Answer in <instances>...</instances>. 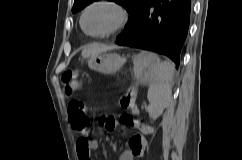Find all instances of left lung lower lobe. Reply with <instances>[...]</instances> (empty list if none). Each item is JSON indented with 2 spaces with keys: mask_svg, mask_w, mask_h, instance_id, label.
<instances>
[{
  "mask_svg": "<svg viewBox=\"0 0 242 160\" xmlns=\"http://www.w3.org/2000/svg\"><path fill=\"white\" fill-rule=\"evenodd\" d=\"M190 14L191 0H148L130 31L118 36L116 44L163 54L179 65Z\"/></svg>",
  "mask_w": 242,
  "mask_h": 160,
  "instance_id": "0a47b994",
  "label": "left lung lower lobe"
}]
</instances>
